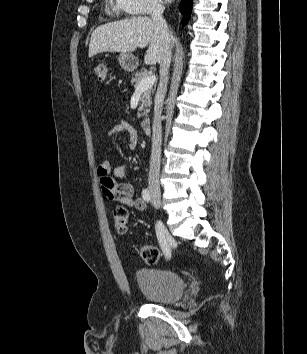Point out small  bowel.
<instances>
[{
  "label": "small bowel",
  "mask_w": 307,
  "mask_h": 354,
  "mask_svg": "<svg viewBox=\"0 0 307 354\" xmlns=\"http://www.w3.org/2000/svg\"><path fill=\"white\" fill-rule=\"evenodd\" d=\"M118 134H124L128 138V147L133 149L138 142V133L136 129L126 120H122L114 125L107 133L112 138ZM97 174L100 178V185L104 196L110 200L137 211H145L146 202L142 198L134 197V186L128 182H117V178H125L129 175L126 166L120 165L112 167L110 161H103L97 168Z\"/></svg>",
  "instance_id": "obj_1"
}]
</instances>
